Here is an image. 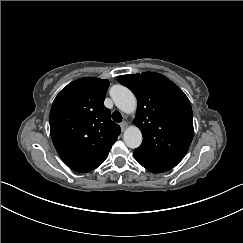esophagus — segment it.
<instances>
[{
  "label": "esophagus",
  "mask_w": 243,
  "mask_h": 243,
  "mask_svg": "<svg viewBox=\"0 0 243 243\" xmlns=\"http://www.w3.org/2000/svg\"><path fill=\"white\" fill-rule=\"evenodd\" d=\"M128 126L127 122H121L120 123V127H121V130L124 131L126 129V127Z\"/></svg>",
  "instance_id": "1"
}]
</instances>
